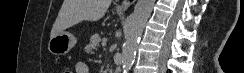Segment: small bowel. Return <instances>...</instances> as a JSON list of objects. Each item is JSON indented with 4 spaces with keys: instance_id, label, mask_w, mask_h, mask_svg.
I'll use <instances>...</instances> for the list:
<instances>
[{
    "instance_id": "small-bowel-1",
    "label": "small bowel",
    "mask_w": 244,
    "mask_h": 73,
    "mask_svg": "<svg viewBox=\"0 0 244 73\" xmlns=\"http://www.w3.org/2000/svg\"><path fill=\"white\" fill-rule=\"evenodd\" d=\"M75 72L76 73H89L88 66L84 62H78L75 65Z\"/></svg>"
}]
</instances>
